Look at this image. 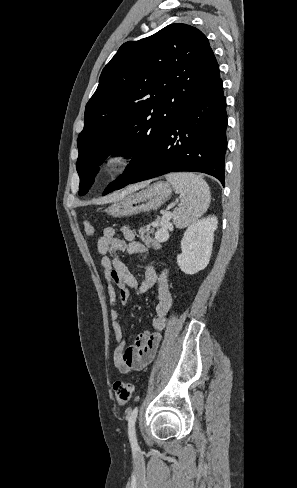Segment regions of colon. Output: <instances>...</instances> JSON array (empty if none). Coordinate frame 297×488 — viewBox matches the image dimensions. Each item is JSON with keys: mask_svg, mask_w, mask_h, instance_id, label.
Here are the masks:
<instances>
[{"mask_svg": "<svg viewBox=\"0 0 297 488\" xmlns=\"http://www.w3.org/2000/svg\"><path fill=\"white\" fill-rule=\"evenodd\" d=\"M84 229L88 236L94 234V227L90 223H85ZM113 390L118 404L125 405L133 396L134 385L127 381H117L114 383Z\"/></svg>", "mask_w": 297, "mask_h": 488, "instance_id": "obj_1", "label": "colon"}]
</instances>
